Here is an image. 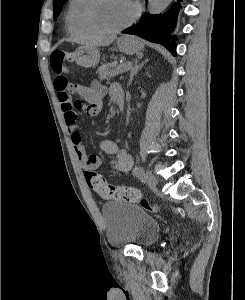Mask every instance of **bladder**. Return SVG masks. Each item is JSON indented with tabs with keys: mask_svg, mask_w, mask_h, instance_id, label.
I'll return each instance as SVG.
<instances>
[{
	"mask_svg": "<svg viewBox=\"0 0 245 300\" xmlns=\"http://www.w3.org/2000/svg\"><path fill=\"white\" fill-rule=\"evenodd\" d=\"M102 216L107 241L113 247L134 245L144 248L154 244L159 237L158 222L133 203L109 201L103 205Z\"/></svg>",
	"mask_w": 245,
	"mask_h": 300,
	"instance_id": "31cf9c89",
	"label": "bladder"
}]
</instances>
